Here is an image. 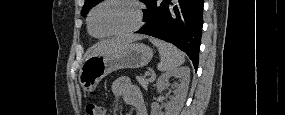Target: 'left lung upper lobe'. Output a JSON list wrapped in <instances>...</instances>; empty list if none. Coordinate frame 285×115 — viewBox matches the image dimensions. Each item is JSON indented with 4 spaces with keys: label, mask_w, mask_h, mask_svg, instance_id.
<instances>
[{
    "label": "left lung upper lobe",
    "mask_w": 285,
    "mask_h": 115,
    "mask_svg": "<svg viewBox=\"0 0 285 115\" xmlns=\"http://www.w3.org/2000/svg\"><path fill=\"white\" fill-rule=\"evenodd\" d=\"M143 2H145V0H141ZM99 2H101V0H85V4L82 8V11H81V15L82 16H85L88 11L95 5H97Z\"/></svg>",
    "instance_id": "obj_1"
}]
</instances>
